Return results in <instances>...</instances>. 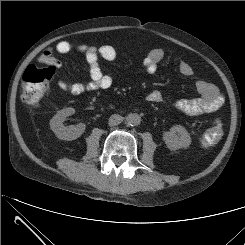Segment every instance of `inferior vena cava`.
<instances>
[{"instance_id": "inferior-vena-cava-1", "label": "inferior vena cava", "mask_w": 245, "mask_h": 245, "mask_svg": "<svg viewBox=\"0 0 245 245\" xmlns=\"http://www.w3.org/2000/svg\"><path fill=\"white\" fill-rule=\"evenodd\" d=\"M123 121V117L119 114H113L109 118V125L116 126L119 125Z\"/></svg>"}]
</instances>
